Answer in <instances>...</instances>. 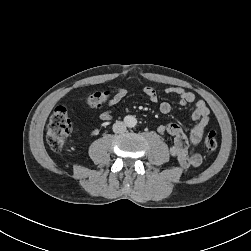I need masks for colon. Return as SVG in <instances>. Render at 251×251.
Here are the masks:
<instances>
[{
  "label": "colon",
  "instance_id": "obj_1",
  "mask_svg": "<svg viewBox=\"0 0 251 251\" xmlns=\"http://www.w3.org/2000/svg\"><path fill=\"white\" fill-rule=\"evenodd\" d=\"M109 92H95L86 98V103L91 107H101L109 101ZM73 130V124L68 111L64 106L55 108L47 125V143L49 147L60 152L65 146L69 135ZM205 146L208 150H215L218 146V136L215 131H210L205 137Z\"/></svg>",
  "mask_w": 251,
  "mask_h": 251
}]
</instances>
